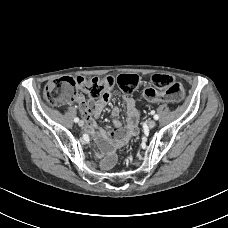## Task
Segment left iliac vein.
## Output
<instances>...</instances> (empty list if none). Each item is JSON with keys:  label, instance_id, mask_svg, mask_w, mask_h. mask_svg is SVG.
<instances>
[{"label": "left iliac vein", "instance_id": "1", "mask_svg": "<svg viewBox=\"0 0 228 228\" xmlns=\"http://www.w3.org/2000/svg\"><path fill=\"white\" fill-rule=\"evenodd\" d=\"M155 126H156L155 120H150V121L148 122V127H149V128H154Z\"/></svg>", "mask_w": 228, "mask_h": 228}]
</instances>
